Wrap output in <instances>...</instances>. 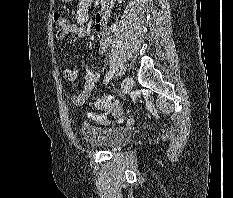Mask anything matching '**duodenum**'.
I'll use <instances>...</instances> for the list:
<instances>
[{
    "instance_id": "obj_1",
    "label": "duodenum",
    "mask_w": 233,
    "mask_h": 198,
    "mask_svg": "<svg viewBox=\"0 0 233 198\" xmlns=\"http://www.w3.org/2000/svg\"><path fill=\"white\" fill-rule=\"evenodd\" d=\"M113 3V0H103V4L106 7H110Z\"/></svg>"
}]
</instances>
